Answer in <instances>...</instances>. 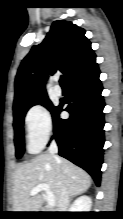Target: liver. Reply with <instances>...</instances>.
Returning <instances> with one entry per match:
<instances>
[{
	"mask_svg": "<svg viewBox=\"0 0 123 219\" xmlns=\"http://www.w3.org/2000/svg\"><path fill=\"white\" fill-rule=\"evenodd\" d=\"M90 175L72 162L49 153L37 156L31 162L21 165L14 175V212H39L44 194L30 195L38 184H47L58 204L61 187H67L70 196L85 192L91 186Z\"/></svg>",
	"mask_w": 123,
	"mask_h": 219,
	"instance_id": "liver-1",
	"label": "liver"
}]
</instances>
